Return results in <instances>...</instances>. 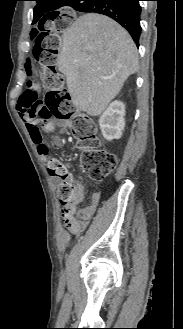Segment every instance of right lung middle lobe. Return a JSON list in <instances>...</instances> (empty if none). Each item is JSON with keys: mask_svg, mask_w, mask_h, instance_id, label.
Returning a JSON list of instances; mask_svg holds the SVG:
<instances>
[{"mask_svg": "<svg viewBox=\"0 0 183 329\" xmlns=\"http://www.w3.org/2000/svg\"><path fill=\"white\" fill-rule=\"evenodd\" d=\"M39 13H40V12H38L37 14H35V13H34V15H37V16H38V15H39Z\"/></svg>", "mask_w": 183, "mask_h": 329, "instance_id": "obj_1", "label": "right lung middle lobe"}]
</instances>
